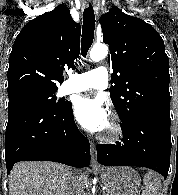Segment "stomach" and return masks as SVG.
Listing matches in <instances>:
<instances>
[{
  "mask_svg": "<svg viewBox=\"0 0 178 195\" xmlns=\"http://www.w3.org/2000/svg\"><path fill=\"white\" fill-rule=\"evenodd\" d=\"M100 174L107 195H138L140 176L131 167H107Z\"/></svg>",
  "mask_w": 178,
  "mask_h": 195,
  "instance_id": "1",
  "label": "stomach"
}]
</instances>
